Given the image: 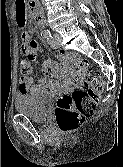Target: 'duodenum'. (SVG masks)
<instances>
[{"label": "duodenum", "mask_w": 123, "mask_h": 167, "mask_svg": "<svg viewBox=\"0 0 123 167\" xmlns=\"http://www.w3.org/2000/svg\"><path fill=\"white\" fill-rule=\"evenodd\" d=\"M29 7L32 13L35 16V19L37 20L38 24L37 27L39 29H42L44 26V15L43 13L38 9V5L36 0H29Z\"/></svg>", "instance_id": "obj_1"}]
</instances>
